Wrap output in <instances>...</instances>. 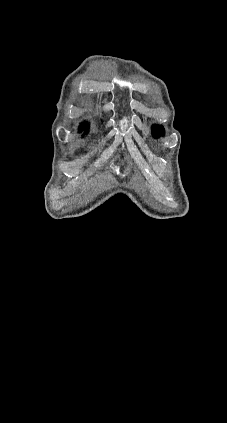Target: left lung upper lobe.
Returning <instances> with one entry per match:
<instances>
[{"mask_svg": "<svg viewBox=\"0 0 227 423\" xmlns=\"http://www.w3.org/2000/svg\"><path fill=\"white\" fill-rule=\"evenodd\" d=\"M152 133H153V135H154L155 137H160V136H162V135H163V133H164V129H163V127H162V126H160V125H154V126L152 127Z\"/></svg>", "mask_w": 227, "mask_h": 423, "instance_id": "obj_1", "label": "left lung upper lobe"}]
</instances>
